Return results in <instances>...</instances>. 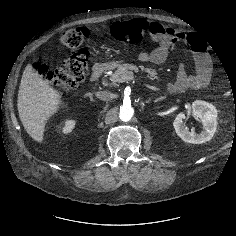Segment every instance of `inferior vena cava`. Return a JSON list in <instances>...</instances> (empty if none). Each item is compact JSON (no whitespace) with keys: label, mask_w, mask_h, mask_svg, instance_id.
I'll list each match as a JSON object with an SVG mask.
<instances>
[{"label":"inferior vena cava","mask_w":236,"mask_h":236,"mask_svg":"<svg viewBox=\"0 0 236 236\" xmlns=\"http://www.w3.org/2000/svg\"><path fill=\"white\" fill-rule=\"evenodd\" d=\"M96 97L102 101H110L113 99L114 94L109 91H98L96 92Z\"/></svg>","instance_id":"obj_1"}]
</instances>
